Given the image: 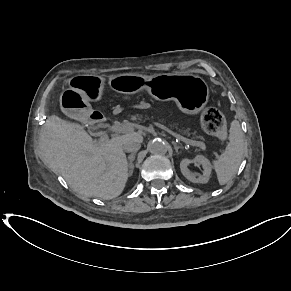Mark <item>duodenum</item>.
<instances>
[{
  "instance_id": "obj_1",
  "label": "duodenum",
  "mask_w": 291,
  "mask_h": 291,
  "mask_svg": "<svg viewBox=\"0 0 291 291\" xmlns=\"http://www.w3.org/2000/svg\"><path fill=\"white\" fill-rule=\"evenodd\" d=\"M89 119L92 125L95 126H102L107 124L105 116L99 111H92Z\"/></svg>"
}]
</instances>
